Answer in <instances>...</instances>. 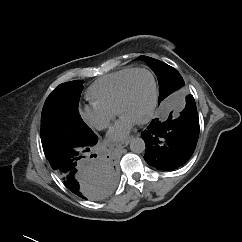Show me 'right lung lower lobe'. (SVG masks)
Masks as SVG:
<instances>
[{
	"label": "right lung lower lobe",
	"mask_w": 242,
	"mask_h": 242,
	"mask_svg": "<svg viewBox=\"0 0 242 242\" xmlns=\"http://www.w3.org/2000/svg\"><path fill=\"white\" fill-rule=\"evenodd\" d=\"M98 138H91L57 149L47 157L68 190L88 200L111 194L117 184V171L110 159L88 157ZM96 157V155H94Z\"/></svg>",
	"instance_id": "98d812e1"
}]
</instances>
